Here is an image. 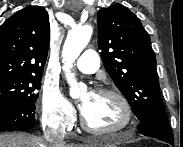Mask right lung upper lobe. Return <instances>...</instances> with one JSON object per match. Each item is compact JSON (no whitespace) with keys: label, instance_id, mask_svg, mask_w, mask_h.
<instances>
[{"label":"right lung upper lobe","instance_id":"1","mask_svg":"<svg viewBox=\"0 0 183 147\" xmlns=\"http://www.w3.org/2000/svg\"><path fill=\"white\" fill-rule=\"evenodd\" d=\"M50 40L47 11L26 7L0 27V80L42 75Z\"/></svg>","mask_w":183,"mask_h":147}]
</instances>
